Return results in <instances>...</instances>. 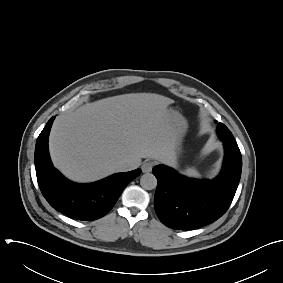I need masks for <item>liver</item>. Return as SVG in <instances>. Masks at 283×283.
I'll return each instance as SVG.
<instances>
[{
    "instance_id": "liver-1",
    "label": "liver",
    "mask_w": 283,
    "mask_h": 283,
    "mask_svg": "<svg viewBox=\"0 0 283 283\" xmlns=\"http://www.w3.org/2000/svg\"><path fill=\"white\" fill-rule=\"evenodd\" d=\"M174 100L152 93H131L87 103L57 118L49 137L53 164L69 179L92 182L119 172L128 160H175L167 107Z\"/></svg>"
}]
</instances>
